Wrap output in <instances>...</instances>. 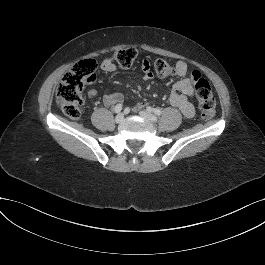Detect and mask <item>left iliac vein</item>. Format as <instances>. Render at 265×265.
<instances>
[{
    "mask_svg": "<svg viewBox=\"0 0 265 265\" xmlns=\"http://www.w3.org/2000/svg\"><path fill=\"white\" fill-rule=\"evenodd\" d=\"M139 115H141L142 117L146 118L147 120H149L152 123L157 122V117L153 114H151L150 112L147 111H140Z\"/></svg>",
    "mask_w": 265,
    "mask_h": 265,
    "instance_id": "left-iliac-vein-1",
    "label": "left iliac vein"
}]
</instances>
